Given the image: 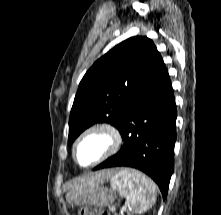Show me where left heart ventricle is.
Segmentation results:
<instances>
[{
    "label": "left heart ventricle",
    "mask_w": 221,
    "mask_h": 215,
    "mask_svg": "<svg viewBox=\"0 0 221 215\" xmlns=\"http://www.w3.org/2000/svg\"><path fill=\"white\" fill-rule=\"evenodd\" d=\"M103 148V140L93 136L86 139L78 149V159L81 163L87 164L95 159Z\"/></svg>",
    "instance_id": "obj_1"
}]
</instances>
